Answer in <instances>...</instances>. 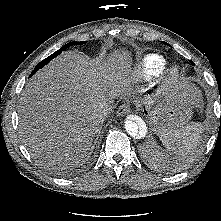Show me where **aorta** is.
Wrapping results in <instances>:
<instances>
[{"mask_svg":"<svg viewBox=\"0 0 221 221\" xmlns=\"http://www.w3.org/2000/svg\"><path fill=\"white\" fill-rule=\"evenodd\" d=\"M124 125H125L126 132L131 137L142 138L147 133V127L145 123L141 120H137V121L126 120Z\"/></svg>","mask_w":221,"mask_h":221,"instance_id":"aorta-1","label":"aorta"}]
</instances>
